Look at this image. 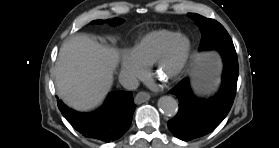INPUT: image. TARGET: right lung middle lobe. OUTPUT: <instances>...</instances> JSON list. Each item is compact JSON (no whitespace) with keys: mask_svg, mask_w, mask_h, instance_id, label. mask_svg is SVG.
Here are the masks:
<instances>
[{"mask_svg":"<svg viewBox=\"0 0 279 148\" xmlns=\"http://www.w3.org/2000/svg\"><path fill=\"white\" fill-rule=\"evenodd\" d=\"M107 22H109L111 25H117V24L122 23V22H123V20H120V19H113L112 21L107 20ZM96 23H100V24H102V23H104V21H102V20H98V21H96Z\"/></svg>","mask_w":279,"mask_h":148,"instance_id":"right-lung-middle-lobe-1","label":"right lung middle lobe"}]
</instances>
